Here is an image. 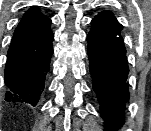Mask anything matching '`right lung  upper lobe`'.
I'll use <instances>...</instances> for the list:
<instances>
[{
    "mask_svg": "<svg viewBox=\"0 0 151 131\" xmlns=\"http://www.w3.org/2000/svg\"><path fill=\"white\" fill-rule=\"evenodd\" d=\"M51 20L31 7L25 12L12 38L5 68V82L11 83L31 73L50 54L53 33Z\"/></svg>",
    "mask_w": 151,
    "mask_h": 131,
    "instance_id": "cb5924a9",
    "label": "right lung upper lobe"
}]
</instances>
